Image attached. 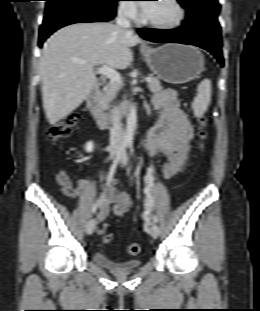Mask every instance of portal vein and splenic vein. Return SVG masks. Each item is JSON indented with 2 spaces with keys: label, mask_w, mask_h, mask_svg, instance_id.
<instances>
[{
  "label": "portal vein and splenic vein",
  "mask_w": 260,
  "mask_h": 311,
  "mask_svg": "<svg viewBox=\"0 0 260 311\" xmlns=\"http://www.w3.org/2000/svg\"><path fill=\"white\" fill-rule=\"evenodd\" d=\"M73 61L76 63H79V64H85L86 63V61L81 60V59H74ZM96 73L108 77L111 80V82H114L117 85L122 84L121 75L116 70L112 69L111 67H108L107 65H102L100 68L97 69ZM145 80L148 83L151 82L150 77H146Z\"/></svg>",
  "instance_id": "1"
}]
</instances>
